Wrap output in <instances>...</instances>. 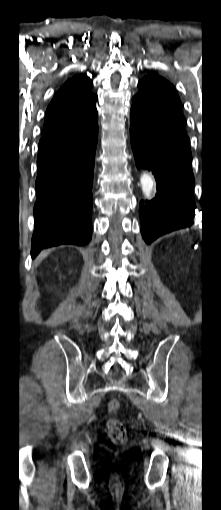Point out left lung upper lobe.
Wrapping results in <instances>:
<instances>
[{"label":"left lung upper lobe","mask_w":221,"mask_h":510,"mask_svg":"<svg viewBox=\"0 0 221 510\" xmlns=\"http://www.w3.org/2000/svg\"><path fill=\"white\" fill-rule=\"evenodd\" d=\"M139 91L133 97L135 109L165 134L189 145L184 133L186 120L181 109V101L174 86L155 73H150L138 83Z\"/></svg>","instance_id":"5c2ea615"}]
</instances>
